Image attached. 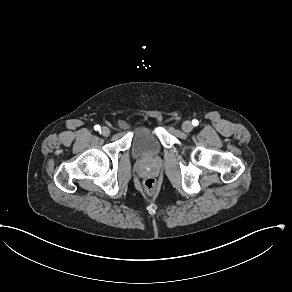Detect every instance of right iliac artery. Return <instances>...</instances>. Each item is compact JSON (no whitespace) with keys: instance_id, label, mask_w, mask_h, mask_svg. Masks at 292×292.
Returning <instances> with one entry per match:
<instances>
[{"instance_id":"1","label":"right iliac artery","mask_w":292,"mask_h":292,"mask_svg":"<svg viewBox=\"0 0 292 292\" xmlns=\"http://www.w3.org/2000/svg\"><path fill=\"white\" fill-rule=\"evenodd\" d=\"M94 129H95L96 131L100 130V125H95V126H94Z\"/></svg>"}]
</instances>
